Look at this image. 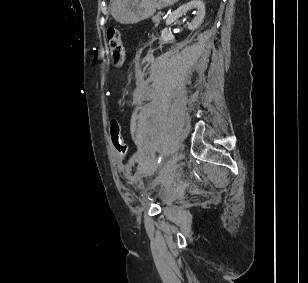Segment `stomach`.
I'll return each mask as SVG.
<instances>
[{"instance_id":"obj_1","label":"stomach","mask_w":308,"mask_h":283,"mask_svg":"<svg viewBox=\"0 0 308 283\" xmlns=\"http://www.w3.org/2000/svg\"><path fill=\"white\" fill-rule=\"evenodd\" d=\"M178 0H112L111 15L121 24H135Z\"/></svg>"}]
</instances>
